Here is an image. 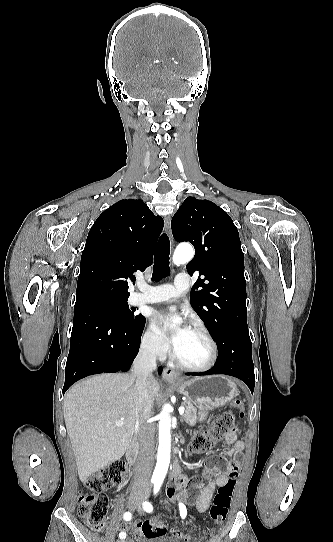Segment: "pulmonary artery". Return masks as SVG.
<instances>
[{"label": "pulmonary artery", "instance_id": "pulmonary-artery-1", "mask_svg": "<svg viewBox=\"0 0 333 542\" xmlns=\"http://www.w3.org/2000/svg\"><path fill=\"white\" fill-rule=\"evenodd\" d=\"M174 280L179 291H175V287L170 285V283L162 285L156 284L153 286L149 284L145 285L143 290L146 299L143 301L151 304L170 303L175 302L180 297L184 296L189 287L187 283V275L184 273H178L175 275ZM139 291H141L140 288L134 290L135 293H138Z\"/></svg>", "mask_w": 333, "mask_h": 542}]
</instances>
